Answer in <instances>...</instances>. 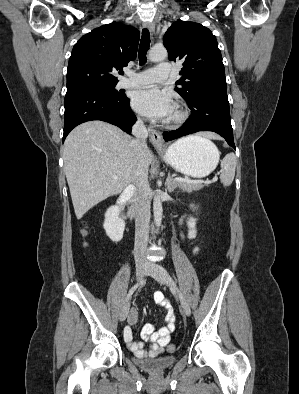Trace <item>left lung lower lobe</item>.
<instances>
[{"mask_svg": "<svg viewBox=\"0 0 299 394\" xmlns=\"http://www.w3.org/2000/svg\"><path fill=\"white\" fill-rule=\"evenodd\" d=\"M187 104L191 109V116L179 129L164 132L163 137L166 142L207 130L224 137L227 143L235 149L226 88L204 89Z\"/></svg>", "mask_w": 299, "mask_h": 394, "instance_id": "1", "label": "left lung lower lobe"}]
</instances>
